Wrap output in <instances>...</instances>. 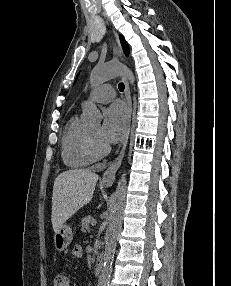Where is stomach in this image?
Segmentation results:
<instances>
[{
	"label": "stomach",
	"mask_w": 231,
	"mask_h": 286,
	"mask_svg": "<svg viewBox=\"0 0 231 286\" xmlns=\"http://www.w3.org/2000/svg\"><path fill=\"white\" fill-rule=\"evenodd\" d=\"M73 239L72 229L69 225L63 224L58 231H55L53 240L58 251H64Z\"/></svg>",
	"instance_id": "stomach-1"
}]
</instances>
